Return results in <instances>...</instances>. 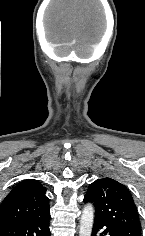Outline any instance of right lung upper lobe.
I'll return each mask as SVG.
<instances>
[{
    "instance_id": "1",
    "label": "right lung upper lobe",
    "mask_w": 145,
    "mask_h": 236,
    "mask_svg": "<svg viewBox=\"0 0 145 236\" xmlns=\"http://www.w3.org/2000/svg\"><path fill=\"white\" fill-rule=\"evenodd\" d=\"M46 189L36 180L20 182L5 197L0 207V226L38 217L49 211Z\"/></svg>"
}]
</instances>
